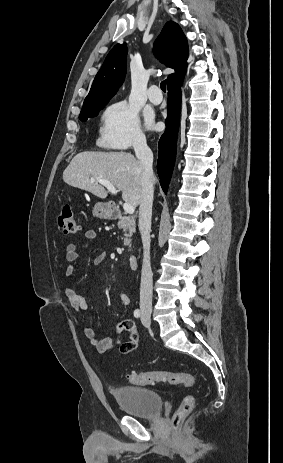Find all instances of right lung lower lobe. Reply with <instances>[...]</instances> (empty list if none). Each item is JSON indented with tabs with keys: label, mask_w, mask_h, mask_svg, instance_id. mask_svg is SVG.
<instances>
[{
	"label": "right lung lower lobe",
	"mask_w": 283,
	"mask_h": 463,
	"mask_svg": "<svg viewBox=\"0 0 283 463\" xmlns=\"http://www.w3.org/2000/svg\"><path fill=\"white\" fill-rule=\"evenodd\" d=\"M181 82L168 85V116L165 120L166 130L158 144L159 155L157 171L160 184L166 193L176 156V141L179 126V100L181 97Z\"/></svg>",
	"instance_id": "1"
}]
</instances>
